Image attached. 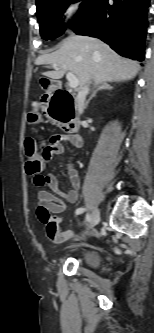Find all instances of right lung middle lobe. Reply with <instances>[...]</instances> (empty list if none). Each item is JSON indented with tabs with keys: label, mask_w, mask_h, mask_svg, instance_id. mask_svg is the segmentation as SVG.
<instances>
[{
	"label": "right lung middle lobe",
	"mask_w": 154,
	"mask_h": 333,
	"mask_svg": "<svg viewBox=\"0 0 154 333\" xmlns=\"http://www.w3.org/2000/svg\"><path fill=\"white\" fill-rule=\"evenodd\" d=\"M81 0H40L36 2L37 18L40 24V33L43 39H54L62 35L67 25H63L64 10L73 2ZM96 0H84L76 20L71 24L74 27L85 20L95 5Z\"/></svg>",
	"instance_id": "1"
}]
</instances>
